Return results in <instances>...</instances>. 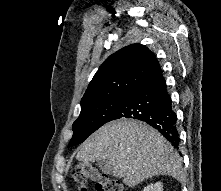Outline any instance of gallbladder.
<instances>
[{
    "instance_id": "bac80fb5",
    "label": "gallbladder",
    "mask_w": 221,
    "mask_h": 191,
    "mask_svg": "<svg viewBox=\"0 0 221 191\" xmlns=\"http://www.w3.org/2000/svg\"><path fill=\"white\" fill-rule=\"evenodd\" d=\"M97 165L103 173L115 175L114 168L108 161L98 162Z\"/></svg>"
}]
</instances>
